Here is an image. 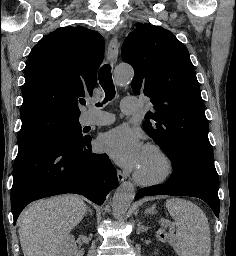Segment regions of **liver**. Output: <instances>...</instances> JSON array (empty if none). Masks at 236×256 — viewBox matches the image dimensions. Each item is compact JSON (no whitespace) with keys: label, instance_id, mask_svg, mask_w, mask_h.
<instances>
[{"label":"liver","instance_id":"obj_1","mask_svg":"<svg viewBox=\"0 0 236 256\" xmlns=\"http://www.w3.org/2000/svg\"><path fill=\"white\" fill-rule=\"evenodd\" d=\"M87 210L78 196H57L30 204L18 220L24 256H63L66 238Z\"/></svg>","mask_w":236,"mask_h":256}]
</instances>
